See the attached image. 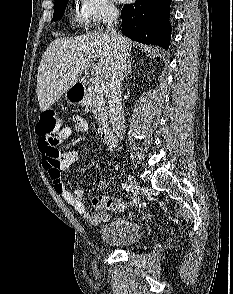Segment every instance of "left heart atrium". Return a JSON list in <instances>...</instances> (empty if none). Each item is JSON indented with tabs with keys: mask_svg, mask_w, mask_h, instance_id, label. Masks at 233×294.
<instances>
[{
	"mask_svg": "<svg viewBox=\"0 0 233 294\" xmlns=\"http://www.w3.org/2000/svg\"><path fill=\"white\" fill-rule=\"evenodd\" d=\"M118 1H121V2H123V1H126V0H118Z\"/></svg>",
	"mask_w": 233,
	"mask_h": 294,
	"instance_id": "left-heart-atrium-1",
	"label": "left heart atrium"
}]
</instances>
